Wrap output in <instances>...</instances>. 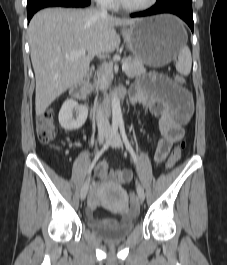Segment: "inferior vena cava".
Wrapping results in <instances>:
<instances>
[{"label":"inferior vena cava","instance_id":"602c4592","mask_svg":"<svg viewBox=\"0 0 227 265\" xmlns=\"http://www.w3.org/2000/svg\"><path fill=\"white\" fill-rule=\"evenodd\" d=\"M99 6V5H98ZM99 12L103 16H107V10L104 7L99 6ZM96 109H97V115H96V120H97V127L99 132H107L110 129V123L105 116L104 112L102 111L101 107L98 106V103L96 104Z\"/></svg>","mask_w":227,"mask_h":265}]
</instances>
